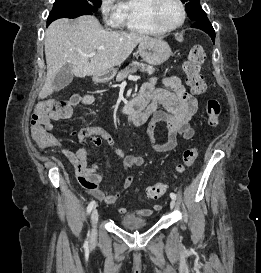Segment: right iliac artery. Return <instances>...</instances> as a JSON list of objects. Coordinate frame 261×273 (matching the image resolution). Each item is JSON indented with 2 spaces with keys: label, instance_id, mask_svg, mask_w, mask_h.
I'll use <instances>...</instances> for the list:
<instances>
[{
  "label": "right iliac artery",
  "instance_id": "right-iliac-artery-1",
  "mask_svg": "<svg viewBox=\"0 0 261 273\" xmlns=\"http://www.w3.org/2000/svg\"><path fill=\"white\" fill-rule=\"evenodd\" d=\"M94 205H95V201H91V202L89 203V205H88V207H87V213H88V214L92 211ZM84 246H85V247L88 246V241H85Z\"/></svg>",
  "mask_w": 261,
  "mask_h": 273
}]
</instances>
